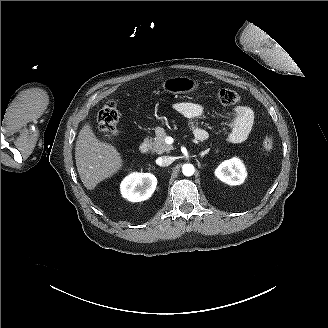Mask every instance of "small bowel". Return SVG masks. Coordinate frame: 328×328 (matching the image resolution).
I'll use <instances>...</instances> for the list:
<instances>
[{"instance_id":"small-bowel-1","label":"small bowel","mask_w":328,"mask_h":328,"mask_svg":"<svg viewBox=\"0 0 328 328\" xmlns=\"http://www.w3.org/2000/svg\"><path fill=\"white\" fill-rule=\"evenodd\" d=\"M173 109L182 116L194 119L201 117L204 114L202 105L192 102H178L173 105ZM254 112L244 104H238L233 107L229 126V141L234 144L244 142L251 133L254 125ZM195 137L204 136L206 138V131L201 127L192 124Z\"/></svg>"}]
</instances>
